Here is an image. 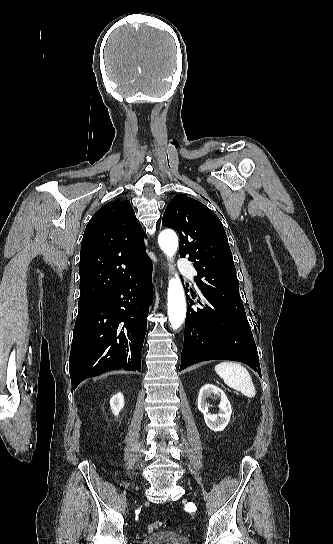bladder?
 Masks as SVG:
<instances>
[{
  "label": "bladder",
  "instance_id": "31cf9c89",
  "mask_svg": "<svg viewBox=\"0 0 333 544\" xmlns=\"http://www.w3.org/2000/svg\"><path fill=\"white\" fill-rule=\"evenodd\" d=\"M141 544H191L190 540L176 531H161L145 537Z\"/></svg>",
  "mask_w": 333,
  "mask_h": 544
}]
</instances>
